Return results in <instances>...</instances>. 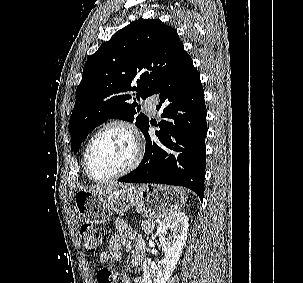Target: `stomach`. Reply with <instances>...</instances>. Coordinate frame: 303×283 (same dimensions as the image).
<instances>
[{
	"label": "stomach",
	"instance_id": "obj_1",
	"mask_svg": "<svg viewBox=\"0 0 303 283\" xmlns=\"http://www.w3.org/2000/svg\"><path fill=\"white\" fill-rule=\"evenodd\" d=\"M74 202L81 222L102 224L113 214H124L133 206L146 218H162L180 210L186 196L179 187L147 184L121 187L102 194L80 190L74 195Z\"/></svg>",
	"mask_w": 303,
	"mask_h": 283
}]
</instances>
